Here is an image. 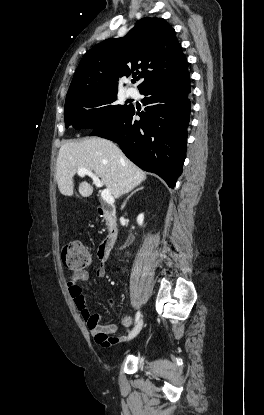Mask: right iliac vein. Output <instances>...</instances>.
<instances>
[{
	"instance_id": "right-iliac-vein-1",
	"label": "right iliac vein",
	"mask_w": 264,
	"mask_h": 415,
	"mask_svg": "<svg viewBox=\"0 0 264 415\" xmlns=\"http://www.w3.org/2000/svg\"><path fill=\"white\" fill-rule=\"evenodd\" d=\"M142 327H143V319H140V321L136 324L133 330L129 333L128 339H133L134 337H136L141 331Z\"/></svg>"
}]
</instances>
